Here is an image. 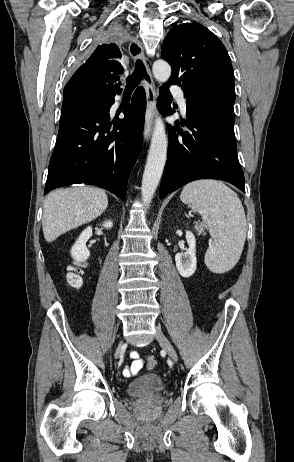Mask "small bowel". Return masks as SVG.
Segmentation results:
<instances>
[{
  "label": "small bowel",
  "mask_w": 294,
  "mask_h": 462,
  "mask_svg": "<svg viewBox=\"0 0 294 462\" xmlns=\"http://www.w3.org/2000/svg\"><path fill=\"white\" fill-rule=\"evenodd\" d=\"M130 357L132 359V362L123 368L122 373L125 377L137 375L143 368V362L139 358V354L137 351H132L130 353Z\"/></svg>",
  "instance_id": "small-bowel-1"
}]
</instances>
